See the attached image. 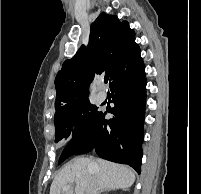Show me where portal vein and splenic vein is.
Here are the masks:
<instances>
[{
  "instance_id": "1",
  "label": "portal vein and splenic vein",
  "mask_w": 201,
  "mask_h": 194,
  "mask_svg": "<svg viewBox=\"0 0 201 194\" xmlns=\"http://www.w3.org/2000/svg\"><path fill=\"white\" fill-rule=\"evenodd\" d=\"M69 189H70V186H65V187H63V191H64V192L68 191Z\"/></svg>"
}]
</instances>
